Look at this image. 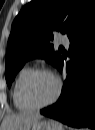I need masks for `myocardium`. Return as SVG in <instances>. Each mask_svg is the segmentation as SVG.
Listing matches in <instances>:
<instances>
[{"mask_svg":"<svg viewBox=\"0 0 95 130\" xmlns=\"http://www.w3.org/2000/svg\"><path fill=\"white\" fill-rule=\"evenodd\" d=\"M38 74H47V75L51 76L54 79L56 86H57L55 95L47 102L41 103V104L33 103L27 96V86H28L30 80L35 75H38ZM61 90H62L61 81L53 72H51L50 70L45 69V68H36V69L30 70V72L24 78V80L21 84V88H20V95H21L22 101L31 109H41V108L47 107V106L55 103L61 94Z\"/></svg>","mask_w":95,"mask_h":130,"instance_id":"f54148a6","label":"myocardium"}]
</instances>
